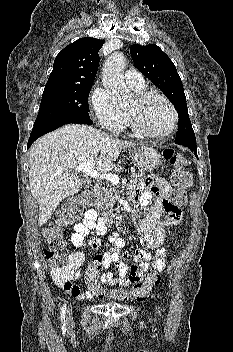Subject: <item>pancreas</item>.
Segmentation results:
<instances>
[{
  "label": "pancreas",
  "mask_w": 233,
  "mask_h": 352,
  "mask_svg": "<svg viewBox=\"0 0 233 352\" xmlns=\"http://www.w3.org/2000/svg\"><path fill=\"white\" fill-rule=\"evenodd\" d=\"M145 179V174L133 173L132 181L133 182H142ZM117 188L113 184H107L105 187H102L101 190L96 194L95 206L99 210H111L115 205L117 199Z\"/></svg>",
  "instance_id": "cf45deb5"
}]
</instances>
